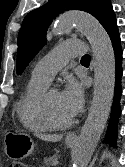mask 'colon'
<instances>
[{
    "label": "colon",
    "instance_id": "colon-1",
    "mask_svg": "<svg viewBox=\"0 0 125 167\" xmlns=\"http://www.w3.org/2000/svg\"><path fill=\"white\" fill-rule=\"evenodd\" d=\"M9 167H27L25 163L21 161H14L10 163Z\"/></svg>",
    "mask_w": 125,
    "mask_h": 167
}]
</instances>
